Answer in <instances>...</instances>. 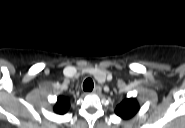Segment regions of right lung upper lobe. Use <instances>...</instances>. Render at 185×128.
<instances>
[{
  "label": "right lung upper lobe",
  "mask_w": 185,
  "mask_h": 128,
  "mask_svg": "<svg viewBox=\"0 0 185 128\" xmlns=\"http://www.w3.org/2000/svg\"><path fill=\"white\" fill-rule=\"evenodd\" d=\"M69 102L65 97H59L55 106V112L59 114L65 113L69 108Z\"/></svg>",
  "instance_id": "right-lung-upper-lobe-1"
}]
</instances>
